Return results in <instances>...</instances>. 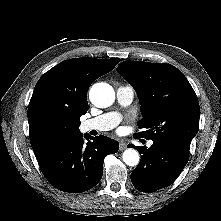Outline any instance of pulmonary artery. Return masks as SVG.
I'll return each instance as SVG.
<instances>
[{
    "instance_id": "obj_1",
    "label": "pulmonary artery",
    "mask_w": 221,
    "mask_h": 221,
    "mask_svg": "<svg viewBox=\"0 0 221 221\" xmlns=\"http://www.w3.org/2000/svg\"><path fill=\"white\" fill-rule=\"evenodd\" d=\"M134 94L135 90L132 86L130 85L120 86L116 91L117 101L121 106L126 107L131 104L134 98ZM120 120L121 116L119 113L108 112L100 116H97L95 118L85 120L81 124V130L83 132H89L92 130L108 131L113 129L115 126H117ZM152 144H153L152 141L148 142V146H151Z\"/></svg>"
}]
</instances>
